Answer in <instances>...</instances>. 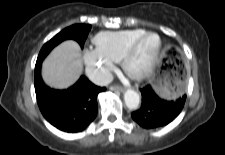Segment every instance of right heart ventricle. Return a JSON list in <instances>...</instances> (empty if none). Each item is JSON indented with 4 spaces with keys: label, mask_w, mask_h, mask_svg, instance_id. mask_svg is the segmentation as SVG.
I'll use <instances>...</instances> for the list:
<instances>
[{
    "label": "right heart ventricle",
    "mask_w": 225,
    "mask_h": 155,
    "mask_svg": "<svg viewBox=\"0 0 225 155\" xmlns=\"http://www.w3.org/2000/svg\"><path fill=\"white\" fill-rule=\"evenodd\" d=\"M144 32L142 29L100 32L94 37L95 49L102 56L118 62L127 47Z\"/></svg>",
    "instance_id": "1"
}]
</instances>
